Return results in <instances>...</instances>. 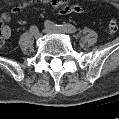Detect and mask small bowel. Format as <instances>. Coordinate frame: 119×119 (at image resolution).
<instances>
[{
	"instance_id": "c3829d8e",
	"label": "small bowel",
	"mask_w": 119,
	"mask_h": 119,
	"mask_svg": "<svg viewBox=\"0 0 119 119\" xmlns=\"http://www.w3.org/2000/svg\"><path fill=\"white\" fill-rule=\"evenodd\" d=\"M43 3H49L55 8H59L61 13L63 14H72V13H82L83 8L78 4H70L67 0H43ZM29 6V3L23 2L18 4L12 9L13 14H19L25 8ZM2 20L6 23L11 21V16L7 13L2 14ZM25 23L24 20H20L19 24L23 25ZM11 35V30L8 26H4V36L5 38H9Z\"/></svg>"
}]
</instances>
